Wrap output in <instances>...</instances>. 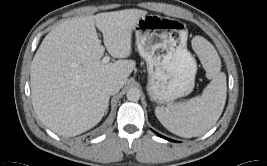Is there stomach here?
Returning <instances> with one entry per match:
<instances>
[{
  "label": "stomach",
  "mask_w": 267,
  "mask_h": 166,
  "mask_svg": "<svg viewBox=\"0 0 267 166\" xmlns=\"http://www.w3.org/2000/svg\"><path fill=\"white\" fill-rule=\"evenodd\" d=\"M134 30L138 53L147 64L151 100L168 104L190 94L197 63L187 49L188 31L184 24L149 14L138 20Z\"/></svg>",
  "instance_id": "obj_1"
}]
</instances>
